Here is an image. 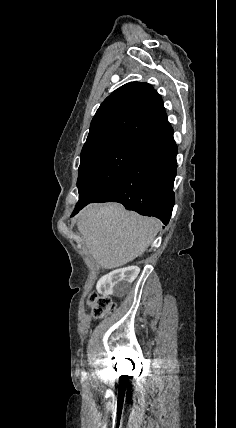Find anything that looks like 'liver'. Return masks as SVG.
Returning <instances> with one entry per match:
<instances>
[{
  "instance_id": "obj_1",
  "label": "liver",
  "mask_w": 236,
  "mask_h": 428,
  "mask_svg": "<svg viewBox=\"0 0 236 428\" xmlns=\"http://www.w3.org/2000/svg\"><path fill=\"white\" fill-rule=\"evenodd\" d=\"M77 218L78 230L102 268H118L142 256L161 228L156 218L127 212L122 204H89Z\"/></svg>"
}]
</instances>
